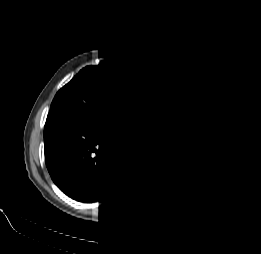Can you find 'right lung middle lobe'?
I'll use <instances>...</instances> for the list:
<instances>
[{
	"mask_svg": "<svg viewBox=\"0 0 261 254\" xmlns=\"http://www.w3.org/2000/svg\"><path fill=\"white\" fill-rule=\"evenodd\" d=\"M102 70L100 66L82 69L57 92L49 114L74 116L94 129L108 130L102 107Z\"/></svg>",
	"mask_w": 261,
	"mask_h": 254,
	"instance_id": "dd1d6c3e",
	"label": "right lung middle lobe"
}]
</instances>
